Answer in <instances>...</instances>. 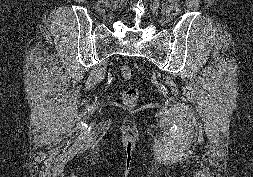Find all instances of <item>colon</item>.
Segmentation results:
<instances>
[{
	"label": "colon",
	"instance_id": "1",
	"mask_svg": "<svg viewBox=\"0 0 253 177\" xmlns=\"http://www.w3.org/2000/svg\"><path fill=\"white\" fill-rule=\"evenodd\" d=\"M120 73L122 77L126 80H131L133 77L132 69L127 65H123L120 67ZM139 94L140 92H139L138 87L129 86L123 91L122 99L125 104L133 106L136 104L139 98Z\"/></svg>",
	"mask_w": 253,
	"mask_h": 177
}]
</instances>
